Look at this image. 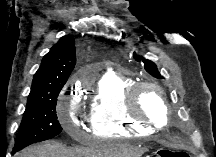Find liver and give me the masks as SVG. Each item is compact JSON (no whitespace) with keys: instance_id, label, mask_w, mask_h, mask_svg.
<instances>
[{"instance_id":"obj_1","label":"liver","mask_w":216,"mask_h":157,"mask_svg":"<svg viewBox=\"0 0 216 157\" xmlns=\"http://www.w3.org/2000/svg\"><path fill=\"white\" fill-rule=\"evenodd\" d=\"M145 149L127 144L97 142L87 148H68L56 142L31 147L19 157H141Z\"/></svg>"}]
</instances>
